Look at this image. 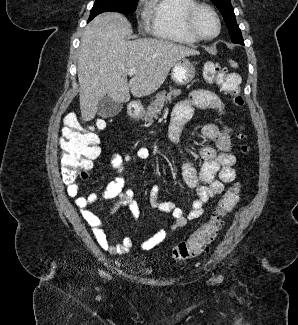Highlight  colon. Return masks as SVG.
<instances>
[{
	"label": "colon",
	"mask_w": 298,
	"mask_h": 325,
	"mask_svg": "<svg viewBox=\"0 0 298 325\" xmlns=\"http://www.w3.org/2000/svg\"><path fill=\"white\" fill-rule=\"evenodd\" d=\"M203 78L206 82L218 86L231 98L236 107H243L244 99L240 94V79L235 73L227 71L215 62L203 66ZM103 120H97L95 127L103 128ZM237 137L247 138L245 127H239ZM61 175L66 185L76 184L85 178L92 166V161L100 153L99 140L94 127H85L80 119L70 114L66 117L60 139ZM242 152L249 151L248 145L242 146ZM240 184L235 183L219 200L209 220L196 230L186 241L177 244L172 252L176 261L191 259L202 253L217 237L222 219L235 208L240 197Z\"/></svg>",
	"instance_id": "colon-1"
}]
</instances>
